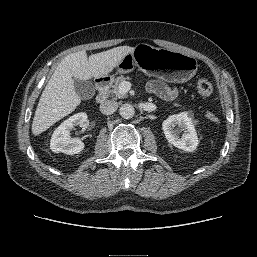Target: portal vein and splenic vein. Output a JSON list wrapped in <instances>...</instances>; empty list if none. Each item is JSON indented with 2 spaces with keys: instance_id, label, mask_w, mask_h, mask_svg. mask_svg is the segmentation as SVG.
I'll use <instances>...</instances> for the list:
<instances>
[{
  "instance_id": "1",
  "label": "portal vein and splenic vein",
  "mask_w": 257,
  "mask_h": 257,
  "mask_svg": "<svg viewBox=\"0 0 257 257\" xmlns=\"http://www.w3.org/2000/svg\"><path fill=\"white\" fill-rule=\"evenodd\" d=\"M131 88V83L128 81H124L120 84L119 90L121 93H127Z\"/></svg>"
}]
</instances>
